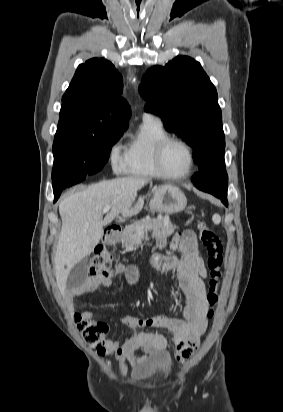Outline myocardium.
<instances>
[{"instance_id": "f54148a6", "label": "myocardium", "mask_w": 283, "mask_h": 412, "mask_svg": "<svg viewBox=\"0 0 283 412\" xmlns=\"http://www.w3.org/2000/svg\"><path fill=\"white\" fill-rule=\"evenodd\" d=\"M172 143H177L183 146L189 156V162H190L189 167L187 171L181 175L170 174L164 169V166H163L164 152L166 148ZM154 162H155L156 169L159 173V176L163 178L171 179V180H181V179L187 178L192 173L194 166H195V155H194V151L192 147L186 141L178 137L167 136L164 139H162L156 146L155 154H154Z\"/></svg>"}]
</instances>
